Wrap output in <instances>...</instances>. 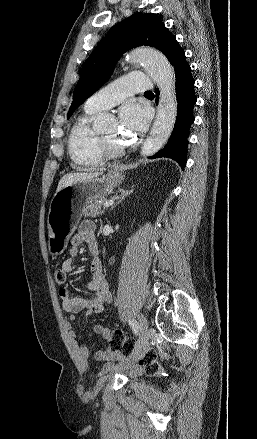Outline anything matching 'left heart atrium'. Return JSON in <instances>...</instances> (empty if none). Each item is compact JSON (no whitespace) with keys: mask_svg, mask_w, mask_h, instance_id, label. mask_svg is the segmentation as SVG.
<instances>
[{"mask_svg":"<svg viewBox=\"0 0 257 439\" xmlns=\"http://www.w3.org/2000/svg\"><path fill=\"white\" fill-rule=\"evenodd\" d=\"M149 122L148 110L140 104L129 103L120 110L121 130L130 138L143 133Z\"/></svg>","mask_w":257,"mask_h":439,"instance_id":"obj_1","label":"left heart atrium"}]
</instances>
